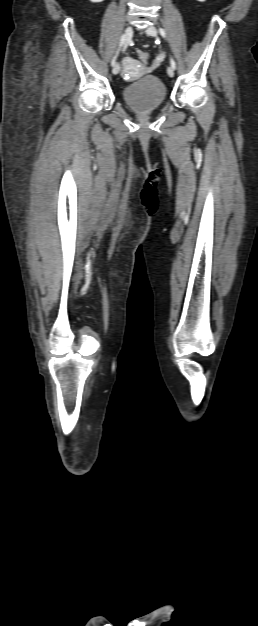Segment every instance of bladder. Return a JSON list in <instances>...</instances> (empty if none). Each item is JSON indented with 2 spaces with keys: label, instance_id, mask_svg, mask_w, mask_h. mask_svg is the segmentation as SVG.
I'll return each instance as SVG.
<instances>
[{
  "label": "bladder",
  "instance_id": "31cf9c89",
  "mask_svg": "<svg viewBox=\"0 0 258 626\" xmlns=\"http://www.w3.org/2000/svg\"><path fill=\"white\" fill-rule=\"evenodd\" d=\"M122 98L132 110L147 112L164 102L166 87L157 77L147 75L126 85L122 90Z\"/></svg>",
  "mask_w": 258,
  "mask_h": 626
}]
</instances>
